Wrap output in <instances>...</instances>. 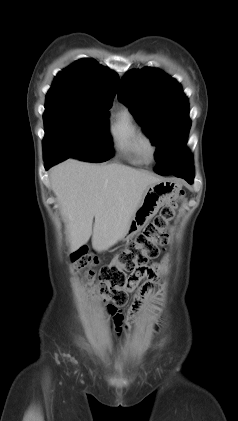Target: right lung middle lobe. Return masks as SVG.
Returning a JSON list of instances; mask_svg holds the SVG:
<instances>
[{
  "instance_id": "1",
  "label": "right lung middle lobe",
  "mask_w": 238,
  "mask_h": 421,
  "mask_svg": "<svg viewBox=\"0 0 238 421\" xmlns=\"http://www.w3.org/2000/svg\"><path fill=\"white\" fill-rule=\"evenodd\" d=\"M109 103L82 97L47 94L43 115L44 159L74 157L90 162L113 156L108 133Z\"/></svg>"
}]
</instances>
